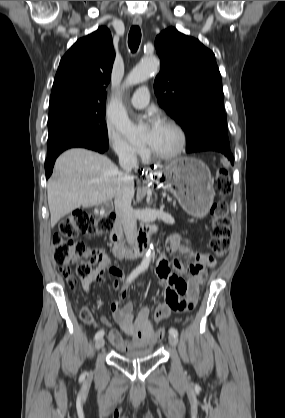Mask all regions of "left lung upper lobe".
I'll return each instance as SVG.
<instances>
[{
    "label": "left lung upper lobe",
    "instance_id": "obj_1",
    "mask_svg": "<svg viewBox=\"0 0 285 418\" xmlns=\"http://www.w3.org/2000/svg\"><path fill=\"white\" fill-rule=\"evenodd\" d=\"M161 69L154 91L159 105L187 134L186 151L203 145L230 148L222 79L214 53L173 27L155 40Z\"/></svg>",
    "mask_w": 285,
    "mask_h": 418
}]
</instances>
